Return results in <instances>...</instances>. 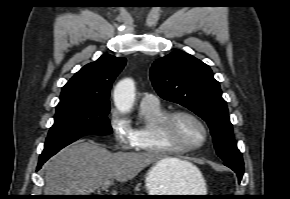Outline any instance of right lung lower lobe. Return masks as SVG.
Returning <instances> with one entry per match:
<instances>
[{
  "label": "right lung lower lobe",
  "mask_w": 290,
  "mask_h": 199,
  "mask_svg": "<svg viewBox=\"0 0 290 199\" xmlns=\"http://www.w3.org/2000/svg\"><path fill=\"white\" fill-rule=\"evenodd\" d=\"M59 151V150H58ZM58 151H54V152H47V153H42L39 157V163L37 166V170H39L41 168V166L50 158L52 157L54 154H56Z\"/></svg>",
  "instance_id": "98d812e1"
}]
</instances>
